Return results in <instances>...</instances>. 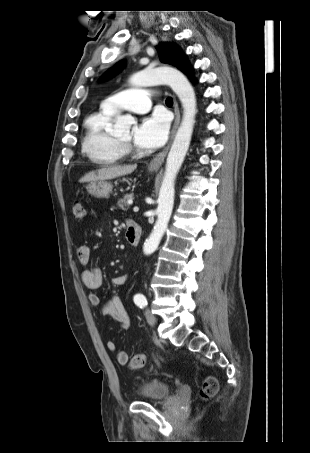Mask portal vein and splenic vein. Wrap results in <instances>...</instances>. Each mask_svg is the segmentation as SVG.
I'll return each mask as SVG.
<instances>
[{
  "label": "portal vein and splenic vein",
  "mask_w": 310,
  "mask_h": 453,
  "mask_svg": "<svg viewBox=\"0 0 310 453\" xmlns=\"http://www.w3.org/2000/svg\"><path fill=\"white\" fill-rule=\"evenodd\" d=\"M128 203H129V204H132L133 202H132V200H129ZM133 211H134V212H138V211H139V208H138L137 206H135V207L133 208Z\"/></svg>",
  "instance_id": "1"
}]
</instances>
